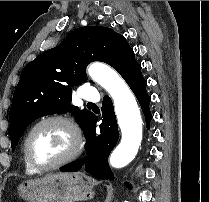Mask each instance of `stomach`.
I'll use <instances>...</instances> for the list:
<instances>
[{
    "instance_id": "obj_1",
    "label": "stomach",
    "mask_w": 209,
    "mask_h": 202,
    "mask_svg": "<svg viewBox=\"0 0 209 202\" xmlns=\"http://www.w3.org/2000/svg\"><path fill=\"white\" fill-rule=\"evenodd\" d=\"M19 196L27 202H76L91 199L93 186L78 173L48 174L18 186Z\"/></svg>"
}]
</instances>
